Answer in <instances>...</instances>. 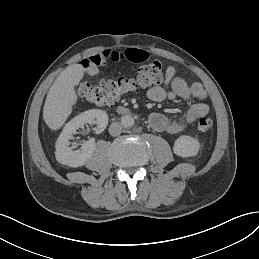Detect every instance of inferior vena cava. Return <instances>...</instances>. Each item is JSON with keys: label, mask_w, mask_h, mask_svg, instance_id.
Instances as JSON below:
<instances>
[{"label": "inferior vena cava", "mask_w": 259, "mask_h": 259, "mask_svg": "<svg viewBox=\"0 0 259 259\" xmlns=\"http://www.w3.org/2000/svg\"><path fill=\"white\" fill-rule=\"evenodd\" d=\"M122 132V126L118 122H114L109 127V133L112 136H119Z\"/></svg>", "instance_id": "602c4592"}]
</instances>
